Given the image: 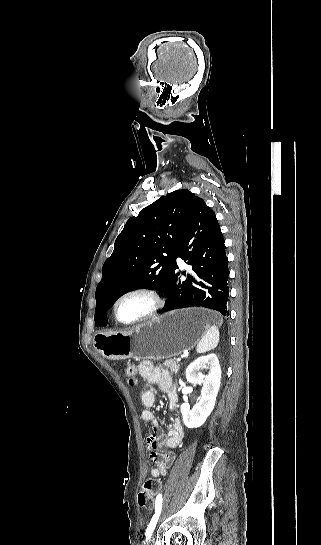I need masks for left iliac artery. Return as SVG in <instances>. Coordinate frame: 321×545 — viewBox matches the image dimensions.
<instances>
[{
    "label": "left iliac artery",
    "instance_id": "obj_1",
    "mask_svg": "<svg viewBox=\"0 0 321 545\" xmlns=\"http://www.w3.org/2000/svg\"><path fill=\"white\" fill-rule=\"evenodd\" d=\"M161 509H162V495H158L157 499H156V503H155V513L146 529V533H145V536H146V539L149 540L152 536V533L154 531V528L157 524V521H158V518L160 516V513H161Z\"/></svg>",
    "mask_w": 321,
    "mask_h": 545
}]
</instances>
